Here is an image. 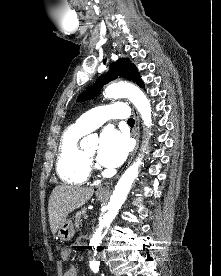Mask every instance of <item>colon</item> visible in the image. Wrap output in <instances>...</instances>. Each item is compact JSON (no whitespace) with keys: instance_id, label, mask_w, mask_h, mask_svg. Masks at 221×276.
I'll use <instances>...</instances> for the list:
<instances>
[{"instance_id":"colon-1","label":"colon","mask_w":221,"mask_h":276,"mask_svg":"<svg viewBox=\"0 0 221 276\" xmlns=\"http://www.w3.org/2000/svg\"><path fill=\"white\" fill-rule=\"evenodd\" d=\"M56 249H58L59 251H63L64 249H65V244H62L61 242H58L57 244H56Z\"/></svg>"}]
</instances>
